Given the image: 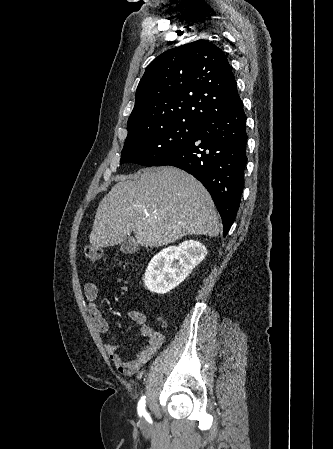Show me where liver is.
Here are the masks:
<instances>
[{
    "mask_svg": "<svg viewBox=\"0 0 333 449\" xmlns=\"http://www.w3.org/2000/svg\"><path fill=\"white\" fill-rule=\"evenodd\" d=\"M220 230L206 188L167 166L119 177L97 208L89 241L95 249L114 246L133 232L139 245L159 247L186 235L216 237Z\"/></svg>",
    "mask_w": 333,
    "mask_h": 449,
    "instance_id": "6515ba94",
    "label": "liver"
}]
</instances>
